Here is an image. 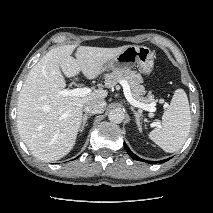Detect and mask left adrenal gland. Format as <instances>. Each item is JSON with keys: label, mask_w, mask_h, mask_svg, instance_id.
Segmentation results:
<instances>
[{"label": "left adrenal gland", "mask_w": 213, "mask_h": 213, "mask_svg": "<svg viewBox=\"0 0 213 213\" xmlns=\"http://www.w3.org/2000/svg\"><path fill=\"white\" fill-rule=\"evenodd\" d=\"M131 110L134 113L135 121H136L138 128L141 129V122H140L141 112L135 111L133 107H131Z\"/></svg>", "instance_id": "left-adrenal-gland-1"}]
</instances>
